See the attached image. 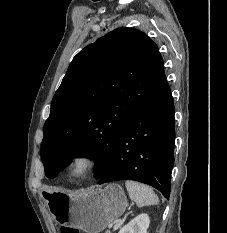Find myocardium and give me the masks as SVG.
Listing matches in <instances>:
<instances>
[{
  "mask_svg": "<svg viewBox=\"0 0 227 233\" xmlns=\"http://www.w3.org/2000/svg\"><path fill=\"white\" fill-rule=\"evenodd\" d=\"M97 165L98 158L93 153L81 151L69 158L67 172L71 178L81 180L91 175Z\"/></svg>",
  "mask_w": 227,
  "mask_h": 233,
  "instance_id": "1",
  "label": "myocardium"
}]
</instances>
